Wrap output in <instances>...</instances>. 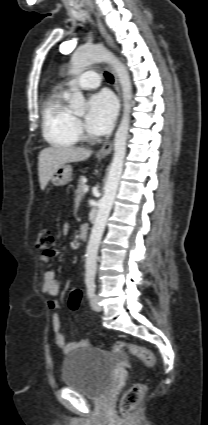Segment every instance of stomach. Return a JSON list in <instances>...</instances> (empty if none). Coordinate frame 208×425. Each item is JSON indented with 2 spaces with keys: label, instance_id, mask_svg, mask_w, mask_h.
I'll return each mask as SVG.
<instances>
[{
  "label": "stomach",
  "instance_id": "0dacf381",
  "mask_svg": "<svg viewBox=\"0 0 208 425\" xmlns=\"http://www.w3.org/2000/svg\"><path fill=\"white\" fill-rule=\"evenodd\" d=\"M51 183L54 186H64L72 180V167L64 164L60 166L52 175Z\"/></svg>",
  "mask_w": 208,
  "mask_h": 425
}]
</instances>
